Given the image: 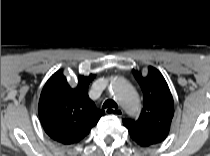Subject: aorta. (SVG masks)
<instances>
[{
    "label": "aorta",
    "mask_w": 210,
    "mask_h": 156,
    "mask_svg": "<svg viewBox=\"0 0 210 156\" xmlns=\"http://www.w3.org/2000/svg\"><path fill=\"white\" fill-rule=\"evenodd\" d=\"M110 90L116 100L122 105L127 113L138 114L141 104L134 87L123 78H114L111 82Z\"/></svg>",
    "instance_id": "762f6f07"
}]
</instances>
